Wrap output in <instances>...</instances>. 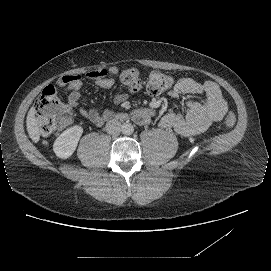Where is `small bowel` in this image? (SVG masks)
<instances>
[{"instance_id":"obj_1","label":"small bowel","mask_w":271,"mask_h":271,"mask_svg":"<svg viewBox=\"0 0 271 271\" xmlns=\"http://www.w3.org/2000/svg\"><path fill=\"white\" fill-rule=\"evenodd\" d=\"M118 74L116 67L108 70L99 69L87 73L98 87L110 88L114 85L115 76ZM62 88L63 95L67 98L70 106L76 107L80 101L82 77L77 74L63 76L57 81ZM134 90L128 88L127 92L118 93L114 97L117 105L126 102ZM182 95H190L182 110H170L159 120V126L165 129H173L183 136L198 135L206 131L213 124L222 120L227 112V103L219 86L213 81L197 82L191 78H181L177 81L169 96L178 99ZM81 115L100 126L109 120L113 113L109 109L98 111L96 109H81ZM153 116L150 109H140L135 113V119L140 124L148 123Z\"/></svg>"}]
</instances>
